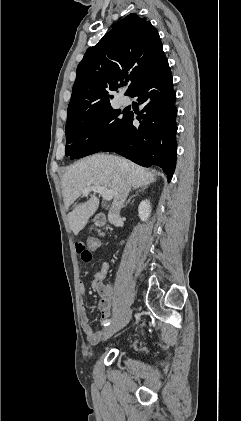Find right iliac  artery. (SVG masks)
<instances>
[{
	"mask_svg": "<svg viewBox=\"0 0 241 421\" xmlns=\"http://www.w3.org/2000/svg\"><path fill=\"white\" fill-rule=\"evenodd\" d=\"M111 323V319H107L105 321L102 322L103 326H108Z\"/></svg>",
	"mask_w": 241,
	"mask_h": 421,
	"instance_id": "obj_1",
	"label": "right iliac artery"
}]
</instances>
